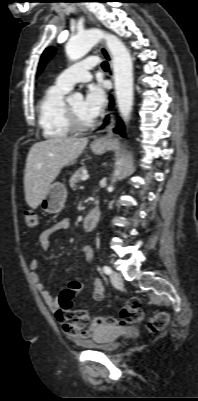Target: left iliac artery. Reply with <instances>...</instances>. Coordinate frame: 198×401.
Wrapping results in <instances>:
<instances>
[{"instance_id":"44dca946","label":"left iliac artery","mask_w":198,"mask_h":401,"mask_svg":"<svg viewBox=\"0 0 198 401\" xmlns=\"http://www.w3.org/2000/svg\"><path fill=\"white\" fill-rule=\"evenodd\" d=\"M103 272L107 275L111 274L112 270L109 266H104L103 267Z\"/></svg>"}]
</instances>
